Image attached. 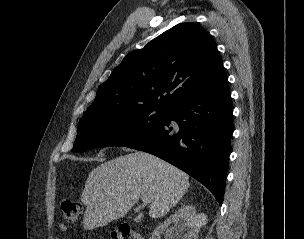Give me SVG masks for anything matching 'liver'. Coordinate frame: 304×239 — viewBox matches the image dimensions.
Masks as SVG:
<instances>
[{
	"instance_id": "1",
	"label": "liver",
	"mask_w": 304,
	"mask_h": 239,
	"mask_svg": "<svg viewBox=\"0 0 304 239\" xmlns=\"http://www.w3.org/2000/svg\"><path fill=\"white\" fill-rule=\"evenodd\" d=\"M189 176L145 152L119 156L95 168L85 182L81 201L83 225L92 230L124 217L139 201H150L149 215L162 217L188 190Z\"/></svg>"
}]
</instances>
